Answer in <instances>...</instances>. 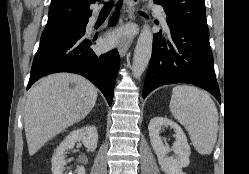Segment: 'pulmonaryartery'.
<instances>
[{"label": "pulmonary artery", "mask_w": 249, "mask_h": 174, "mask_svg": "<svg viewBox=\"0 0 249 174\" xmlns=\"http://www.w3.org/2000/svg\"><path fill=\"white\" fill-rule=\"evenodd\" d=\"M151 9L158 16V18L160 19L163 27L166 30H168V25H167V20H166V14H165L164 10L161 7H159L157 5H153V4L151 5ZM93 21H94V18L92 17L90 19V22H93Z\"/></svg>", "instance_id": "e3ab8cb5"}]
</instances>
